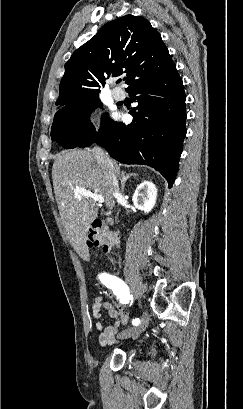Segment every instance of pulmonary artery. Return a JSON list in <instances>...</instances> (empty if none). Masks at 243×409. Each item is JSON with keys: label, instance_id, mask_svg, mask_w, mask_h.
I'll list each match as a JSON object with an SVG mask.
<instances>
[{"label": "pulmonary artery", "instance_id": "1", "mask_svg": "<svg viewBox=\"0 0 243 409\" xmlns=\"http://www.w3.org/2000/svg\"><path fill=\"white\" fill-rule=\"evenodd\" d=\"M112 96L116 100H123L125 98V92L121 88L115 87L112 89Z\"/></svg>", "mask_w": 243, "mask_h": 409}]
</instances>
